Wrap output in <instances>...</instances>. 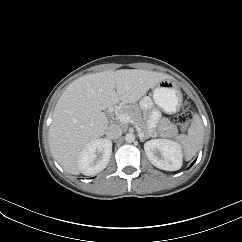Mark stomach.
Wrapping results in <instances>:
<instances>
[{
	"label": "stomach",
	"mask_w": 242,
	"mask_h": 242,
	"mask_svg": "<svg viewBox=\"0 0 242 242\" xmlns=\"http://www.w3.org/2000/svg\"><path fill=\"white\" fill-rule=\"evenodd\" d=\"M153 100L163 111L174 113L182 104V94L173 80L165 79L156 85Z\"/></svg>",
	"instance_id": "1"
}]
</instances>
